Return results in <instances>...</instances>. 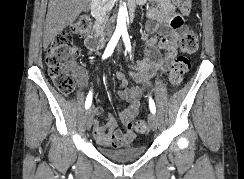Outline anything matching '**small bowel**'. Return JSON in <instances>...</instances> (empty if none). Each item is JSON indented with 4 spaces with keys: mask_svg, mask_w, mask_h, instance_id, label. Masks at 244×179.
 Listing matches in <instances>:
<instances>
[{
    "mask_svg": "<svg viewBox=\"0 0 244 179\" xmlns=\"http://www.w3.org/2000/svg\"><path fill=\"white\" fill-rule=\"evenodd\" d=\"M136 9L135 6H131ZM138 7L146 13L144 29L148 35L144 49V59L138 62H130L136 70L133 78L143 84L142 88L128 87L127 80L122 72L115 73L119 80V96L127 102L126 107L119 113L120 123L125 130H117L116 120L108 116L105 121L93 120V136L102 147H123L129 145L134 137L133 119L140 107V98L145 86L158 74L166 73L172 66L176 56L177 39L182 28V18L173 4L167 0L152 2L139 1ZM89 54L95 51L89 38L84 40ZM78 77L79 90L77 98L81 99L88 86L89 71L82 67L75 68ZM102 114L101 108L92 110L93 116Z\"/></svg>",
    "mask_w": 244,
    "mask_h": 179,
    "instance_id": "1",
    "label": "small bowel"
}]
</instances>
